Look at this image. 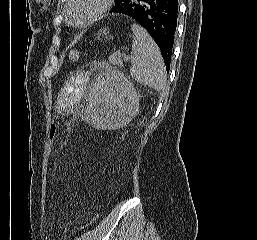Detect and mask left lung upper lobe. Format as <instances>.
Here are the masks:
<instances>
[{"label": "left lung upper lobe", "instance_id": "left-lung-upper-lobe-1", "mask_svg": "<svg viewBox=\"0 0 257 240\" xmlns=\"http://www.w3.org/2000/svg\"><path fill=\"white\" fill-rule=\"evenodd\" d=\"M121 1H122V0H115V6H114V7H116L117 5H119Z\"/></svg>", "mask_w": 257, "mask_h": 240}]
</instances>
